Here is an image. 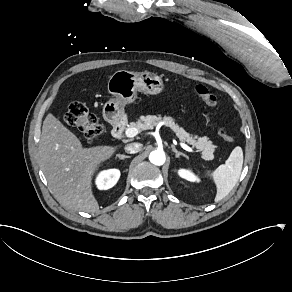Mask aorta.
Instances as JSON below:
<instances>
[{
	"instance_id": "aorta-1",
	"label": "aorta",
	"mask_w": 292,
	"mask_h": 292,
	"mask_svg": "<svg viewBox=\"0 0 292 292\" xmlns=\"http://www.w3.org/2000/svg\"><path fill=\"white\" fill-rule=\"evenodd\" d=\"M149 160L152 164H154L156 166H161L165 163L166 156H165L164 152L157 150V151H154L150 154Z\"/></svg>"
}]
</instances>
